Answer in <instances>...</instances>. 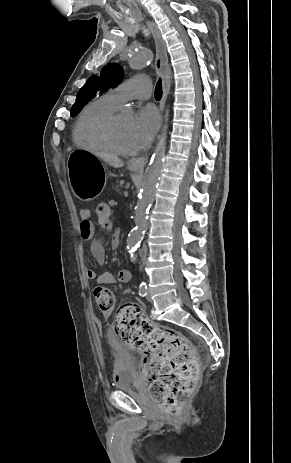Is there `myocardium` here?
<instances>
[{
    "mask_svg": "<svg viewBox=\"0 0 291 463\" xmlns=\"http://www.w3.org/2000/svg\"><path fill=\"white\" fill-rule=\"evenodd\" d=\"M118 114L113 113L105 120L100 122L94 129L96 138L102 142L105 148L113 153L122 156H133L139 152V149L125 150L117 145L114 140V127L117 121Z\"/></svg>",
    "mask_w": 291,
    "mask_h": 463,
    "instance_id": "1",
    "label": "myocardium"
}]
</instances>
